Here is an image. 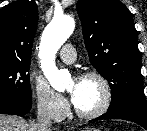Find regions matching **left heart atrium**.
I'll list each match as a JSON object with an SVG mask.
<instances>
[{
    "label": "left heart atrium",
    "mask_w": 147,
    "mask_h": 131,
    "mask_svg": "<svg viewBox=\"0 0 147 131\" xmlns=\"http://www.w3.org/2000/svg\"><path fill=\"white\" fill-rule=\"evenodd\" d=\"M81 90V81H75L73 89L70 91L71 101L74 105L77 104Z\"/></svg>",
    "instance_id": "left-heart-atrium-1"
}]
</instances>
